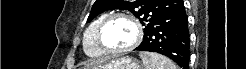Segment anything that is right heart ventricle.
<instances>
[{"instance_id":"obj_1","label":"right heart ventricle","mask_w":246,"mask_h":69,"mask_svg":"<svg viewBox=\"0 0 246 69\" xmlns=\"http://www.w3.org/2000/svg\"><path fill=\"white\" fill-rule=\"evenodd\" d=\"M108 13H102L97 16L86 28L84 32L83 45L87 55L91 57H97L103 54L101 47L99 46L96 38V31L103 19Z\"/></svg>"}]
</instances>
